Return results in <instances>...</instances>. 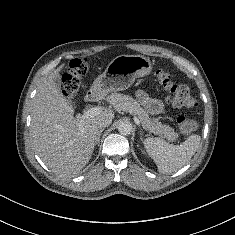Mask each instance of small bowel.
Instances as JSON below:
<instances>
[{"mask_svg": "<svg viewBox=\"0 0 235 235\" xmlns=\"http://www.w3.org/2000/svg\"><path fill=\"white\" fill-rule=\"evenodd\" d=\"M138 100L141 104L151 113L153 114H161L165 111L164 104L155 98H151L144 91H138L136 94Z\"/></svg>", "mask_w": 235, "mask_h": 235, "instance_id": "small-bowel-1", "label": "small bowel"}]
</instances>
